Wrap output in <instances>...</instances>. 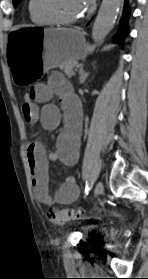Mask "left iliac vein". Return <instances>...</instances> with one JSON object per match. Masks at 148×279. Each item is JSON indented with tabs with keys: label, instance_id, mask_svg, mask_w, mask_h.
<instances>
[{
	"label": "left iliac vein",
	"instance_id": "left-iliac-vein-1",
	"mask_svg": "<svg viewBox=\"0 0 148 279\" xmlns=\"http://www.w3.org/2000/svg\"><path fill=\"white\" fill-rule=\"evenodd\" d=\"M103 190H104L103 183L99 181L95 187L94 198L102 194Z\"/></svg>",
	"mask_w": 148,
	"mask_h": 279
}]
</instances>
